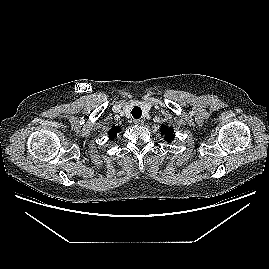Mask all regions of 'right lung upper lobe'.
Returning <instances> with one entry per match:
<instances>
[{
  "label": "right lung upper lobe",
  "mask_w": 269,
  "mask_h": 269,
  "mask_svg": "<svg viewBox=\"0 0 269 269\" xmlns=\"http://www.w3.org/2000/svg\"><path fill=\"white\" fill-rule=\"evenodd\" d=\"M120 132V128L119 127H112L109 132V138L112 140L117 136V133Z\"/></svg>",
  "instance_id": "obj_1"
}]
</instances>
